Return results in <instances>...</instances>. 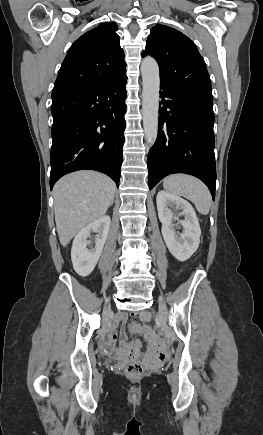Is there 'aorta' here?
Segmentation results:
<instances>
[{
	"mask_svg": "<svg viewBox=\"0 0 263 435\" xmlns=\"http://www.w3.org/2000/svg\"><path fill=\"white\" fill-rule=\"evenodd\" d=\"M143 81L142 113L146 142L152 146L158 133V110L160 77L159 67L154 58L145 57L141 63Z\"/></svg>",
	"mask_w": 263,
	"mask_h": 435,
	"instance_id": "1",
	"label": "aorta"
}]
</instances>
